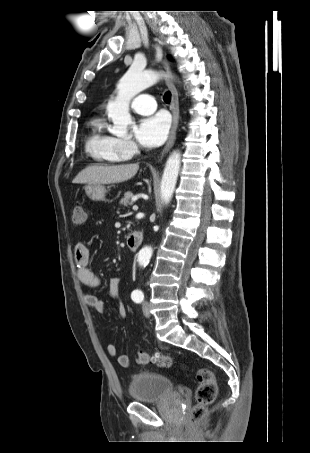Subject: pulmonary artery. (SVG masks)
<instances>
[{
  "mask_svg": "<svg viewBox=\"0 0 310 453\" xmlns=\"http://www.w3.org/2000/svg\"><path fill=\"white\" fill-rule=\"evenodd\" d=\"M132 109L142 115L151 114L155 111L157 105L154 98L148 94H140L131 101Z\"/></svg>",
  "mask_w": 310,
  "mask_h": 453,
  "instance_id": "1",
  "label": "pulmonary artery"
}]
</instances>
